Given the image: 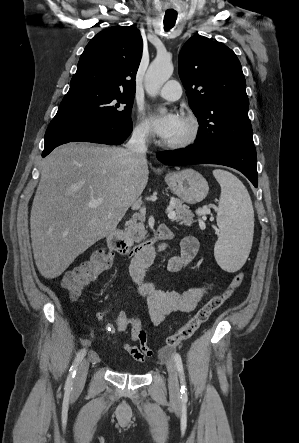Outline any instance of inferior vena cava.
<instances>
[{
  "label": "inferior vena cava",
  "mask_w": 299,
  "mask_h": 443,
  "mask_svg": "<svg viewBox=\"0 0 299 443\" xmlns=\"http://www.w3.org/2000/svg\"><path fill=\"white\" fill-rule=\"evenodd\" d=\"M147 137L148 133L146 130L136 129L126 145L127 150L133 153L140 161H146Z\"/></svg>",
  "instance_id": "602c4592"
}]
</instances>
